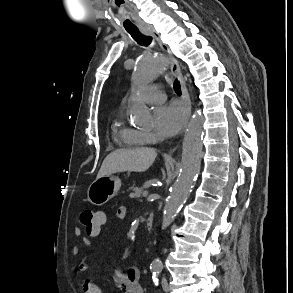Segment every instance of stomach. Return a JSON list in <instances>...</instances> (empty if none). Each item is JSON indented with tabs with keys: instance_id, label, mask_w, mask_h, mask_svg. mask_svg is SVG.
Listing matches in <instances>:
<instances>
[{
	"instance_id": "1",
	"label": "stomach",
	"mask_w": 293,
	"mask_h": 293,
	"mask_svg": "<svg viewBox=\"0 0 293 293\" xmlns=\"http://www.w3.org/2000/svg\"><path fill=\"white\" fill-rule=\"evenodd\" d=\"M121 187V180L115 176H103L96 179L88 188L87 198L96 206H102L113 198Z\"/></svg>"
}]
</instances>
